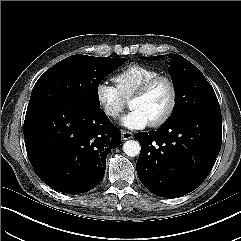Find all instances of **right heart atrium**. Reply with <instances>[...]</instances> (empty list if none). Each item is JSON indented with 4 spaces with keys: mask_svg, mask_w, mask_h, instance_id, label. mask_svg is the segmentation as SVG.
<instances>
[{
    "mask_svg": "<svg viewBox=\"0 0 241 241\" xmlns=\"http://www.w3.org/2000/svg\"><path fill=\"white\" fill-rule=\"evenodd\" d=\"M95 98L102 112L115 119L123 111L125 102L116 86L107 81L99 82L95 87Z\"/></svg>",
    "mask_w": 241,
    "mask_h": 241,
    "instance_id": "1",
    "label": "right heart atrium"
}]
</instances>
